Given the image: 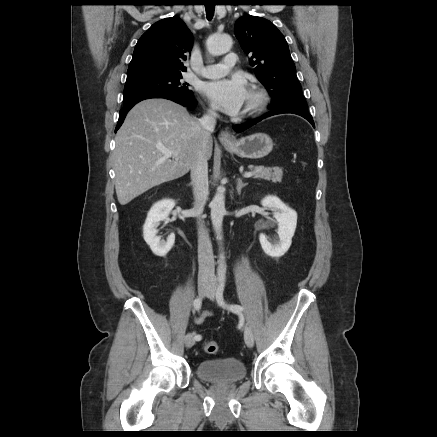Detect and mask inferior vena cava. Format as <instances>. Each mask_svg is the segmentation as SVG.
<instances>
[{
    "label": "inferior vena cava",
    "instance_id": "obj_1",
    "mask_svg": "<svg viewBox=\"0 0 437 437\" xmlns=\"http://www.w3.org/2000/svg\"><path fill=\"white\" fill-rule=\"evenodd\" d=\"M217 113L210 109L200 120L202 138L199 146L197 160L191 166V184L193 187V210L199 219L198 222V281L212 283L215 281V263L212 244L207 229L200 220L204 205L208 198V163L206 146L216 124Z\"/></svg>",
    "mask_w": 437,
    "mask_h": 437
}]
</instances>
